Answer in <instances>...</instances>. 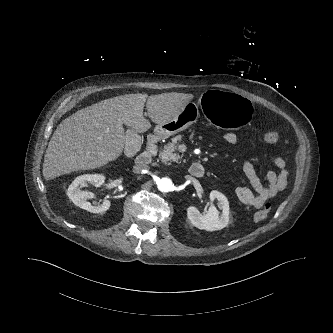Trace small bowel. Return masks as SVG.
Segmentation results:
<instances>
[{
  "label": "small bowel",
  "mask_w": 333,
  "mask_h": 333,
  "mask_svg": "<svg viewBox=\"0 0 333 333\" xmlns=\"http://www.w3.org/2000/svg\"><path fill=\"white\" fill-rule=\"evenodd\" d=\"M223 140L228 145H234L237 142V136L233 132H227L224 134ZM274 163L279 171H269L266 174V183H264L253 164L248 160L243 162V174L250 187L238 186L235 189L236 197L243 204L261 208L268 199L275 197L286 187L288 177L286 162L283 157L278 156L274 159Z\"/></svg>",
  "instance_id": "1"
}]
</instances>
